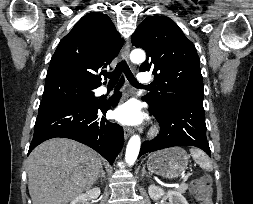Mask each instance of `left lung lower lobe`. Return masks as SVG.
Here are the masks:
<instances>
[{
    "mask_svg": "<svg viewBox=\"0 0 253 204\" xmlns=\"http://www.w3.org/2000/svg\"><path fill=\"white\" fill-rule=\"evenodd\" d=\"M149 112L159 121L161 131L154 140L142 144L139 157L145 153L183 145L198 147L210 155L203 101L174 104L164 112H158L149 105Z\"/></svg>",
    "mask_w": 253,
    "mask_h": 204,
    "instance_id": "left-lung-lower-lobe-1",
    "label": "left lung lower lobe"
}]
</instances>
